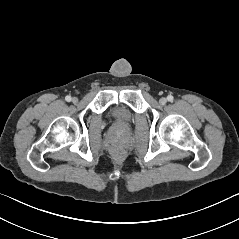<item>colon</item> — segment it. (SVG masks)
Masks as SVG:
<instances>
[{
  "mask_svg": "<svg viewBox=\"0 0 239 239\" xmlns=\"http://www.w3.org/2000/svg\"><path fill=\"white\" fill-rule=\"evenodd\" d=\"M113 156L117 159H122L126 156L127 154V149L125 146H123L122 144H116L113 147Z\"/></svg>",
  "mask_w": 239,
  "mask_h": 239,
  "instance_id": "5ec220e1",
  "label": "colon"
}]
</instances>
